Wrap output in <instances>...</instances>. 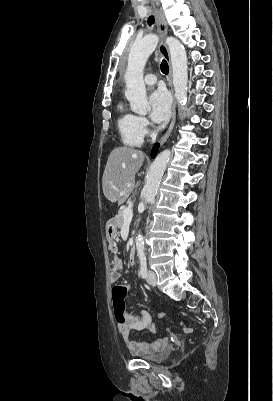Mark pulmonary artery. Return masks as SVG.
Wrapping results in <instances>:
<instances>
[{"label": "pulmonary artery", "mask_w": 273, "mask_h": 401, "mask_svg": "<svg viewBox=\"0 0 273 401\" xmlns=\"http://www.w3.org/2000/svg\"><path fill=\"white\" fill-rule=\"evenodd\" d=\"M145 80L147 83H156L158 77L156 74H147Z\"/></svg>", "instance_id": "pulmonary-artery-1"}]
</instances>
